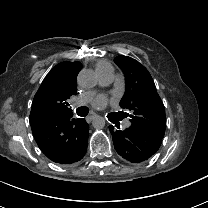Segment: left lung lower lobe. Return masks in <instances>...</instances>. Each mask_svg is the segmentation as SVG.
Instances as JSON below:
<instances>
[{
    "mask_svg": "<svg viewBox=\"0 0 208 208\" xmlns=\"http://www.w3.org/2000/svg\"><path fill=\"white\" fill-rule=\"evenodd\" d=\"M119 128V127H117ZM117 153L126 161L140 163L151 158L159 149L162 138L130 124L125 130L109 126Z\"/></svg>",
    "mask_w": 208,
    "mask_h": 208,
    "instance_id": "0a47b994",
    "label": "left lung lower lobe"
}]
</instances>
